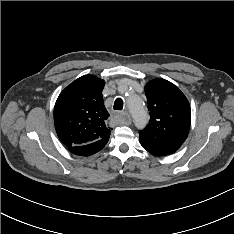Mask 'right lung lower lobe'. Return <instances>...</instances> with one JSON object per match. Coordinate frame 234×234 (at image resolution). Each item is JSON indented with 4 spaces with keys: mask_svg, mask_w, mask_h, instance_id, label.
<instances>
[{
    "mask_svg": "<svg viewBox=\"0 0 234 234\" xmlns=\"http://www.w3.org/2000/svg\"><path fill=\"white\" fill-rule=\"evenodd\" d=\"M106 144H107V142L97 141V142H93L90 144L74 146V147H71L68 149L70 152H72L76 155L89 156V155H92V154L98 152L99 150H101Z\"/></svg>",
    "mask_w": 234,
    "mask_h": 234,
    "instance_id": "98d812e1",
    "label": "right lung lower lobe"
}]
</instances>
